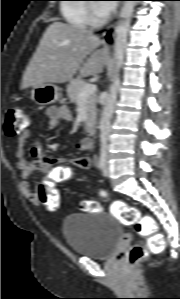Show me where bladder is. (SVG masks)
Wrapping results in <instances>:
<instances>
[{
	"mask_svg": "<svg viewBox=\"0 0 180 299\" xmlns=\"http://www.w3.org/2000/svg\"><path fill=\"white\" fill-rule=\"evenodd\" d=\"M61 231L75 254L101 260L113 255L122 238L121 227L109 212L68 215Z\"/></svg>",
	"mask_w": 180,
	"mask_h": 299,
	"instance_id": "31cf9c89",
	"label": "bladder"
}]
</instances>
